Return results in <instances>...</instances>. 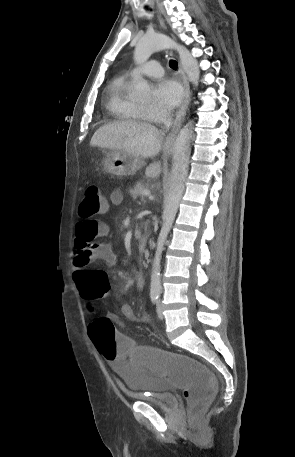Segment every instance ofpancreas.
<instances>
[{
    "label": "pancreas",
    "mask_w": 295,
    "mask_h": 457,
    "mask_svg": "<svg viewBox=\"0 0 295 457\" xmlns=\"http://www.w3.org/2000/svg\"><path fill=\"white\" fill-rule=\"evenodd\" d=\"M146 190V186L144 183H137L132 189H130L129 193L133 199H136L139 196H142V192Z\"/></svg>",
    "instance_id": "obj_1"
}]
</instances>
